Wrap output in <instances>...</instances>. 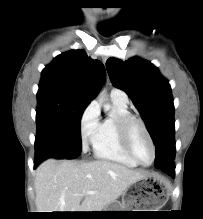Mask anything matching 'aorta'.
I'll return each instance as SVG.
<instances>
[{
  "mask_svg": "<svg viewBox=\"0 0 203 219\" xmlns=\"http://www.w3.org/2000/svg\"><path fill=\"white\" fill-rule=\"evenodd\" d=\"M104 92H105V91L102 90L100 94H101V95H104ZM110 108H111V107H110L109 104H105V105H104V109H105V110H109Z\"/></svg>",
  "mask_w": 203,
  "mask_h": 219,
  "instance_id": "762f6f07",
  "label": "aorta"
}]
</instances>
